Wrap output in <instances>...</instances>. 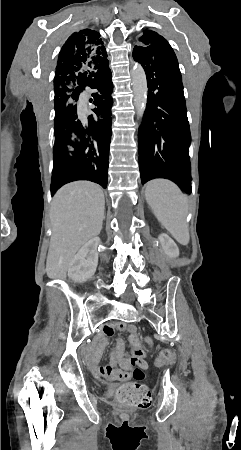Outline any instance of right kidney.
<instances>
[{
    "instance_id": "right-kidney-1",
    "label": "right kidney",
    "mask_w": 241,
    "mask_h": 450,
    "mask_svg": "<svg viewBox=\"0 0 241 450\" xmlns=\"http://www.w3.org/2000/svg\"><path fill=\"white\" fill-rule=\"evenodd\" d=\"M99 244L100 238H92L80 248L69 264L68 278L74 282H86L94 276L98 266L97 248Z\"/></svg>"
}]
</instances>
